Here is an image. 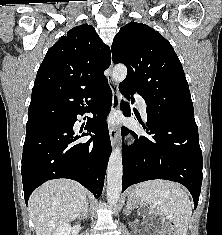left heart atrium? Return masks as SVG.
Segmentation results:
<instances>
[{
    "mask_svg": "<svg viewBox=\"0 0 222 235\" xmlns=\"http://www.w3.org/2000/svg\"><path fill=\"white\" fill-rule=\"evenodd\" d=\"M114 121H115V119H114V118H110V119H109V123H110V124H113V123H114Z\"/></svg>",
    "mask_w": 222,
    "mask_h": 235,
    "instance_id": "1",
    "label": "left heart atrium"
}]
</instances>
